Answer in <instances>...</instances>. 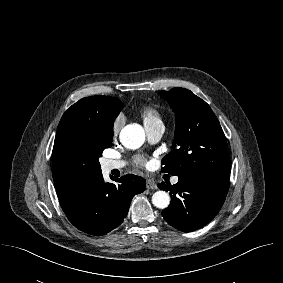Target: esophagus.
I'll return each mask as SVG.
<instances>
[{
	"instance_id": "1",
	"label": "esophagus",
	"mask_w": 283,
	"mask_h": 283,
	"mask_svg": "<svg viewBox=\"0 0 283 283\" xmlns=\"http://www.w3.org/2000/svg\"><path fill=\"white\" fill-rule=\"evenodd\" d=\"M146 187L148 189L155 190V189H157V184L153 180L149 179V180H147Z\"/></svg>"
}]
</instances>
